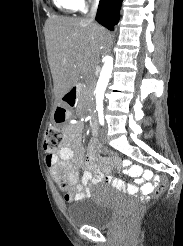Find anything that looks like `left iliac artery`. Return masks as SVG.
<instances>
[{
  "instance_id": "obj_1",
  "label": "left iliac artery",
  "mask_w": 183,
  "mask_h": 246,
  "mask_svg": "<svg viewBox=\"0 0 183 246\" xmlns=\"http://www.w3.org/2000/svg\"><path fill=\"white\" fill-rule=\"evenodd\" d=\"M98 117H99V123L101 125H104V115H103V110L102 109L98 111Z\"/></svg>"
}]
</instances>
